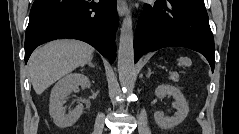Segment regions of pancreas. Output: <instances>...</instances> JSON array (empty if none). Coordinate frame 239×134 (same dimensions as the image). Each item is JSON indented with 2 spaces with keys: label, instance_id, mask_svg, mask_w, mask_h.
<instances>
[{
  "label": "pancreas",
  "instance_id": "obj_1",
  "mask_svg": "<svg viewBox=\"0 0 239 134\" xmlns=\"http://www.w3.org/2000/svg\"><path fill=\"white\" fill-rule=\"evenodd\" d=\"M170 79L174 82H178L179 75L177 73H173V74L170 75Z\"/></svg>",
  "mask_w": 239,
  "mask_h": 134
}]
</instances>
